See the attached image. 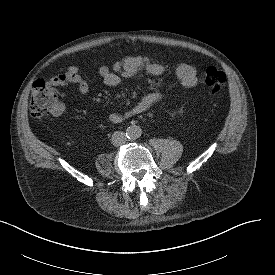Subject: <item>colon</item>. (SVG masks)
<instances>
[{
  "label": "colon",
  "mask_w": 275,
  "mask_h": 275,
  "mask_svg": "<svg viewBox=\"0 0 275 275\" xmlns=\"http://www.w3.org/2000/svg\"><path fill=\"white\" fill-rule=\"evenodd\" d=\"M225 81L226 75L220 69L214 66L205 69L204 82L211 92H220L225 85ZM58 105V94L55 88L47 81L36 80L31 91V115L36 118L45 117Z\"/></svg>",
  "instance_id": "5ec220e1"
}]
</instances>
